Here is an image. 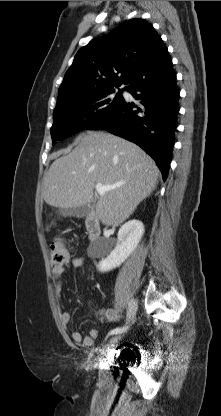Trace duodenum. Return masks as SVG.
<instances>
[{
    "instance_id": "duodenum-1",
    "label": "duodenum",
    "mask_w": 221,
    "mask_h": 416,
    "mask_svg": "<svg viewBox=\"0 0 221 416\" xmlns=\"http://www.w3.org/2000/svg\"><path fill=\"white\" fill-rule=\"evenodd\" d=\"M86 231L89 241H95L101 236V225L99 219L95 215H91L86 219Z\"/></svg>"
}]
</instances>
